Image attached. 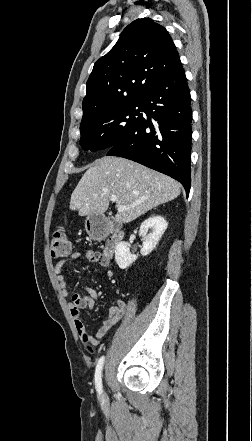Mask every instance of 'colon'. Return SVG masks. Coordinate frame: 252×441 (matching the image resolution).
<instances>
[{
	"instance_id": "obj_1",
	"label": "colon",
	"mask_w": 252,
	"mask_h": 441,
	"mask_svg": "<svg viewBox=\"0 0 252 441\" xmlns=\"http://www.w3.org/2000/svg\"><path fill=\"white\" fill-rule=\"evenodd\" d=\"M71 251L70 241L62 231H56L52 237L50 244V253L53 258H62L67 256ZM82 340L89 344V334L83 333ZM91 349V348H90Z\"/></svg>"
}]
</instances>
